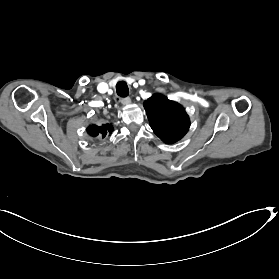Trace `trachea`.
Returning <instances> with one entry per match:
<instances>
[{"instance_id":"3493384b","label":"trachea","mask_w":279,"mask_h":279,"mask_svg":"<svg viewBox=\"0 0 279 279\" xmlns=\"http://www.w3.org/2000/svg\"><path fill=\"white\" fill-rule=\"evenodd\" d=\"M116 92L118 94V96L125 98L129 95V89L128 86L126 84V82L124 81H120L116 84Z\"/></svg>"}]
</instances>
